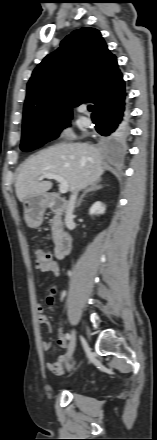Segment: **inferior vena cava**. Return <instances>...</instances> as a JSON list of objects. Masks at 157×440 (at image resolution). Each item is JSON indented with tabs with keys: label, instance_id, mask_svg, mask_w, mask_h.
Returning a JSON list of instances; mask_svg holds the SVG:
<instances>
[{
	"label": "inferior vena cava",
	"instance_id": "obj_1",
	"mask_svg": "<svg viewBox=\"0 0 157 440\" xmlns=\"http://www.w3.org/2000/svg\"><path fill=\"white\" fill-rule=\"evenodd\" d=\"M77 193H78V190H75L69 199V203H68L67 211H66V216H65V224L67 227L73 223V211L75 208Z\"/></svg>",
	"mask_w": 157,
	"mask_h": 440
}]
</instances>
